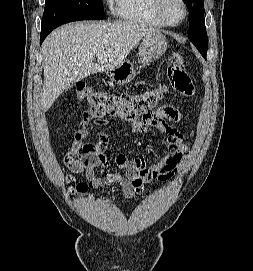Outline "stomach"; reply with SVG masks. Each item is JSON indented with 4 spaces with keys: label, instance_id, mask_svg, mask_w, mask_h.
Masks as SVG:
<instances>
[{
    "label": "stomach",
    "instance_id": "stomach-1",
    "mask_svg": "<svg viewBox=\"0 0 253 271\" xmlns=\"http://www.w3.org/2000/svg\"><path fill=\"white\" fill-rule=\"evenodd\" d=\"M167 49V40L160 32L148 34L144 37L138 51V63L140 68L159 59ZM134 64L124 61L120 65L107 70L110 80L118 85L131 82L136 76Z\"/></svg>",
    "mask_w": 253,
    "mask_h": 271
}]
</instances>
